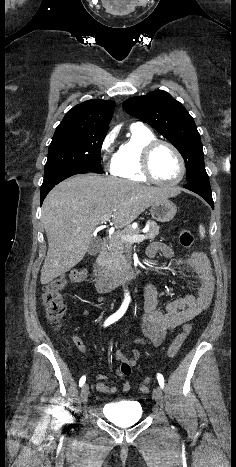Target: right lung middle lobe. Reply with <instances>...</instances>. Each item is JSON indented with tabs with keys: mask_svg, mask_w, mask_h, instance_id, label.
Wrapping results in <instances>:
<instances>
[{
	"mask_svg": "<svg viewBox=\"0 0 236 467\" xmlns=\"http://www.w3.org/2000/svg\"><path fill=\"white\" fill-rule=\"evenodd\" d=\"M106 132L56 129L48 149L45 175L67 168L102 174L101 146Z\"/></svg>",
	"mask_w": 236,
	"mask_h": 467,
	"instance_id": "obj_1",
	"label": "right lung middle lobe"
}]
</instances>
